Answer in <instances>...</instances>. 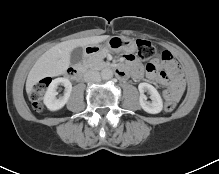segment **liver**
Instances as JSON below:
<instances>
[{
	"label": "liver",
	"mask_w": 219,
	"mask_h": 174,
	"mask_svg": "<svg viewBox=\"0 0 219 174\" xmlns=\"http://www.w3.org/2000/svg\"><path fill=\"white\" fill-rule=\"evenodd\" d=\"M110 36H92L61 42L47 50L36 61L26 80V92L31 94L33 86L45 77H55L65 73L70 65L71 51L77 47L94 45L108 40Z\"/></svg>",
	"instance_id": "1"
}]
</instances>
